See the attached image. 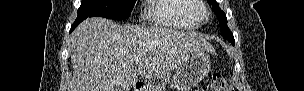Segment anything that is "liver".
I'll use <instances>...</instances> for the list:
<instances>
[{"mask_svg": "<svg viewBox=\"0 0 304 91\" xmlns=\"http://www.w3.org/2000/svg\"><path fill=\"white\" fill-rule=\"evenodd\" d=\"M199 50L215 52L196 32L120 26L105 18H88L71 35L69 91H128L139 76L163 77Z\"/></svg>", "mask_w": 304, "mask_h": 91, "instance_id": "6515ba94", "label": "liver"}]
</instances>
